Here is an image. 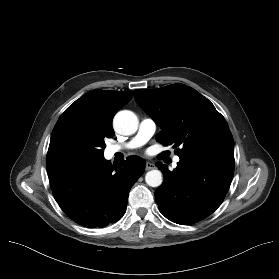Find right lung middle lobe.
<instances>
[{
	"label": "right lung middle lobe",
	"instance_id": "right-lung-middle-lobe-1",
	"mask_svg": "<svg viewBox=\"0 0 279 279\" xmlns=\"http://www.w3.org/2000/svg\"><path fill=\"white\" fill-rule=\"evenodd\" d=\"M103 136L79 124H68L52 132L46 158L47 170L88 163L103 158Z\"/></svg>",
	"mask_w": 279,
	"mask_h": 279
}]
</instances>
